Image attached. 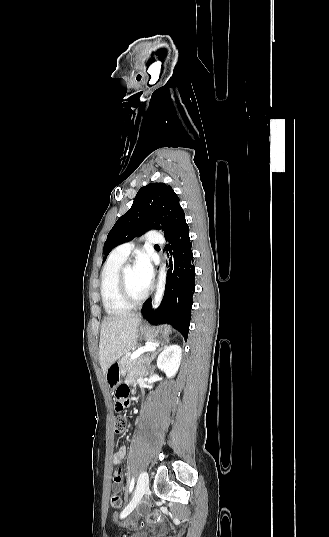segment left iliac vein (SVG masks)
<instances>
[{"mask_svg":"<svg viewBox=\"0 0 329 537\" xmlns=\"http://www.w3.org/2000/svg\"><path fill=\"white\" fill-rule=\"evenodd\" d=\"M148 490H149V477L146 471H142L138 478L135 494L132 500L130 501V503L124 508L121 514L122 518L129 515L134 510V508H136L140 504L143 495L147 493Z\"/></svg>","mask_w":329,"mask_h":537,"instance_id":"left-iliac-vein-1","label":"left iliac vein"}]
</instances>
